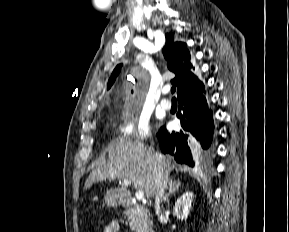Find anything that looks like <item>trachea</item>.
Here are the masks:
<instances>
[{"mask_svg":"<svg viewBox=\"0 0 289 232\" xmlns=\"http://www.w3.org/2000/svg\"><path fill=\"white\" fill-rule=\"evenodd\" d=\"M175 91H176V87H172V88H171V93L174 94Z\"/></svg>","mask_w":289,"mask_h":232,"instance_id":"1","label":"trachea"}]
</instances>
